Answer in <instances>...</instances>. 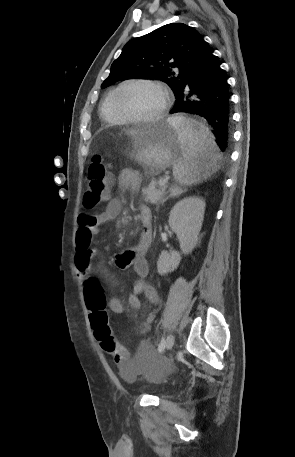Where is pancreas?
Masks as SVG:
<instances>
[{
  "instance_id": "pancreas-1",
  "label": "pancreas",
  "mask_w": 295,
  "mask_h": 457,
  "mask_svg": "<svg viewBox=\"0 0 295 457\" xmlns=\"http://www.w3.org/2000/svg\"><path fill=\"white\" fill-rule=\"evenodd\" d=\"M165 186H160L159 181L152 180L148 188L143 189L145 202L159 204L165 196Z\"/></svg>"
}]
</instances>
